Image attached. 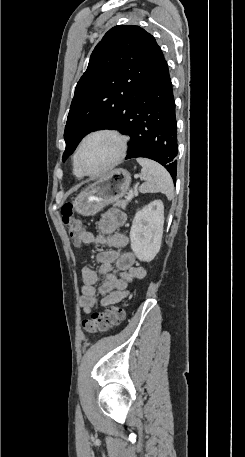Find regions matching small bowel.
<instances>
[{"label": "small bowel", "instance_id": "c3829d8e", "mask_svg": "<svg viewBox=\"0 0 245 457\" xmlns=\"http://www.w3.org/2000/svg\"><path fill=\"white\" fill-rule=\"evenodd\" d=\"M126 215L119 209H109L97 222V231L82 229L79 244L93 245L102 250L97 254L100 264L98 272L85 266L82 269V295L80 306L89 314L99 307L119 303L128 294V285L146 276V269L136 264L134 253L120 252L129 244L128 237L121 232ZM98 274L103 276L97 286ZM99 296L101 298L99 299Z\"/></svg>", "mask_w": 245, "mask_h": 457}]
</instances>
